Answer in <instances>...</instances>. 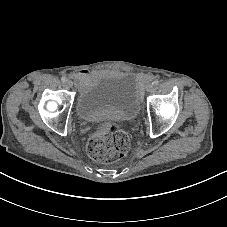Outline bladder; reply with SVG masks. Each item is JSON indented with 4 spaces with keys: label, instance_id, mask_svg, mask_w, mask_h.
Instances as JSON below:
<instances>
[{
    "label": "bladder",
    "instance_id": "31cf9c89",
    "mask_svg": "<svg viewBox=\"0 0 227 227\" xmlns=\"http://www.w3.org/2000/svg\"><path fill=\"white\" fill-rule=\"evenodd\" d=\"M142 99L132 74L116 78L97 76L77 99L74 112L82 120L110 115L135 121L142 108Z\"/></svg>",
    "mask_w": 227,
    "mask_h": 227
}]
</instances>
